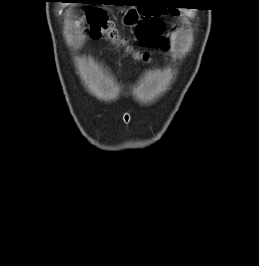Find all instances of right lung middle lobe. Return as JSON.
Listing matches in <instances>:
<instances>
[{
  "label": "right lung middle lobe",
  "mask_w": 259,
  "mask_h": 266,
  "mask_svg": "<svg viewBox=\"0 0 259 266\" xmlns=\"http://www.w3.org/2000/svg\"><path fill=\"white\" fill-rule=\"evenodd\" d=\"M90 1H92V2H97L98 0H90Z\"/></svg>",
  "instance_id": "right-lung-middle-lobe-1"
}]
</instances>
